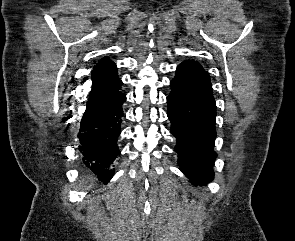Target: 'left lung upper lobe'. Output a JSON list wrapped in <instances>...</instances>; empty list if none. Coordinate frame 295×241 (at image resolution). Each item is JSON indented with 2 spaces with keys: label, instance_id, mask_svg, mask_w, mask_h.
Returning <instances> with one entry per match:
<instances>
[{
  "label": "left lung upper lobe",
  "instance_id": "obj_1",
  "mask_svg": "<svg viewBox=\"0 0 295 241\" xmlns=\"http://www.w3.org/2000/svg\"><path fill=\"white\" fill-rule=\"evenodd\" d=\"M176 75L183 77L199 90L213 95L209 75L199 63L189 60L182 62L177 67Z\"/></svg>",
  "mask_w": 295,
  "mask_h": 241
}]
</instances>
